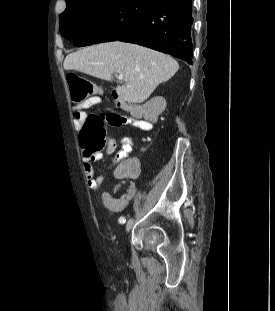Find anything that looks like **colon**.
<instances>
[{
	"label": "colon",
	"mask_w": 275,
	"mask_h": 311,
	"mask_svg": "<svg viewBox=\"0 0 275 311\" xmlns=\"http://www.w3.org/2000/svg\"><path fill=\"white\" fill-rule=\"evenodd\" d=\"M67 82L71 89V100L75 105L79 104H100V97H95L97 90L89 80L75 74L67 75ZM117 99V96L114 95ZM124 116L120 113L107 110L102 117L89 114L82 126V140L85 146L94 152H103L109 147L106 126H120Z\"/></svg>",
	"instance_id": "5ec220e1"
}]
</instances>
